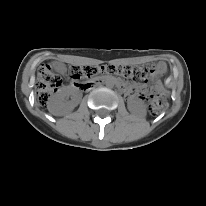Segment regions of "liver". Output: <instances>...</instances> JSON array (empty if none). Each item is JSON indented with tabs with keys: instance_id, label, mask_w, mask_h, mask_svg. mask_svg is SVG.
<instances>
[{
	"instance_id": "1",
	"label": "liver",
	"mask_w": 206,
	"mask_h": 206,
	"mask_svg": "<svg viewBox=\"0 0 206 206\" xmlns=\"http://www.w3.org/2000/svg\"><path fill=\"white\" fill-rule=\"evenodd\" d=\"M49 110H50V109H49ZM50 112H51L52 114H54V115H57V116H61V115L64 114V112H60V111H51V110H50Z\"/></svg>"
}]
</instances>
